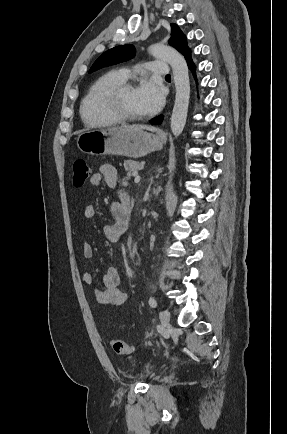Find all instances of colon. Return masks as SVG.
Listing matches in <instances>:
<instances>
[{
  "label": "colon",
  "instance_id": "1",
  "mask_svg": "<svg viewBox=\"0 0 287 434\" xmlns=\"http://www.w3.org/2000/svg\"><path fill=\"white\" fill-rule=\"evenodd\" d=\"M90 176V169L83 159H77L73 162V185L75 187H82ZM112 350L119 355H129L132 353L133 348L127 342L113 338L110 341Z\"/></svg>",
  "mask_w": 287,
  "mask_h": 434
}]
</instances>
